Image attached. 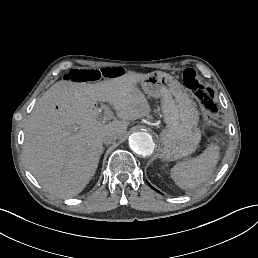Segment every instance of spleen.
Here are the masks:
<instances>
[{
  "mask_svg": "<svg viewBox=\"0 0 258 258\" xmlns=\"http://www.w3.org/2000/svg\"><path fill=\"white\" fill-rule=\"evenodd\" d=\"M219 160V145H209L196 157L183 160L171 169L176 185L190 191L207 182L213 175Z\"/></svg>",
  "mask_w": 258,
  "mask_h": 258,
  "instance_id": "spleen-1",
  "label": "spleen"
}]
</instances>
